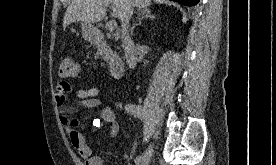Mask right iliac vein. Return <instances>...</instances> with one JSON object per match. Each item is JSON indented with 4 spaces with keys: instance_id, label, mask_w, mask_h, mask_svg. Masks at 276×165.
I'll use <instances>...</instances> for the list:
<instances>
[{
    "instance_id": "obj_1",
    "label": "right iliac vein",
    "mask_w": 276,
    "mask_h": 165,
    "mask_svg": "<svg viewBox=\"0 0 276 165\" xmlns=\"http://www.w3.org/2000/svg\"><path fill=\"white\" fill-rule=\"evenodd\" d=\"M152 151H153L152 147L149 146V148L146 150V152L142 156V158H141L138 165H149V162H150L151 157H152Z\"/></svg>"
}]
</instances>
